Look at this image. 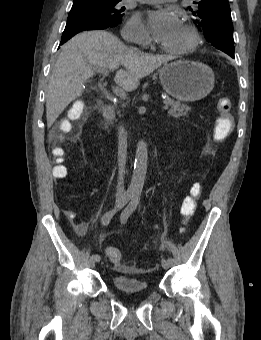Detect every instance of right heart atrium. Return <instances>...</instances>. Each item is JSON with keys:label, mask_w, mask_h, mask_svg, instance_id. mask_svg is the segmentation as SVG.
<instances>
[{"label": "right heart atrium", "mask_w": 261, "mask_h": 340, "mask_svg": "<svg viewBox=\"0 0 261 340\" xmlns=\"http://www.w3.org/2000/svg\"><path fill=\"white\" fill-rule=\"evenodd\" d=\"M122 36L142 46H147L150 43L148 32L138 15H133L126 22L122 30Z\"/></svg>", "instance_id": "obj_1"}]
</instances>
